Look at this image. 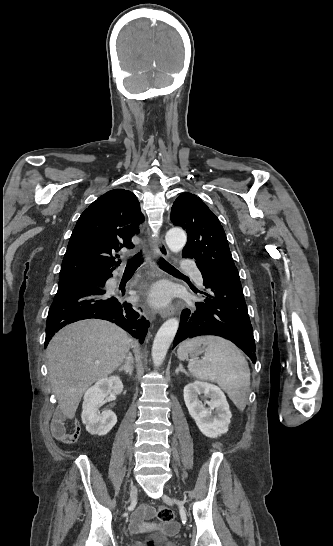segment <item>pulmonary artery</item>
Listing matches in <instances>:
<instances>
[{"label":"pulmonary artery","mask_w":333,"mask_h":546,"mask_svg":"<svg viewBox=\"0 0 333 546\" xmlns=\"http://www.w3.org/2000/svg\"><path fill=\"white\" fill-rule=\"evenodd\" d=\"M184 265L187 266L189 265L188 262H184ZM194 280L198 283V284H202V276L200 274L199 271H195L194 272Z\"/></svg>","instance_id":"1"}]
</instances>
